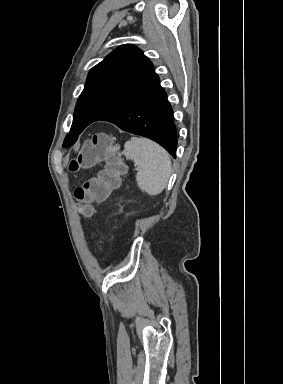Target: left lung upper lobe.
Segmentation results:
<instances>
[{"mask_svg": "<svg viewBox=\"0 0 283 384\" xmlns=\"http://www.w3.org/2000/svg\"><path fill=\"white\" fill-rule=\"evenodd\" d=\"M154 73L149 59L134 45H122L94 66L87 77L63 147L73 145L79 134L109 111Z\"/></svg>", "mask_w": 283, "mask_h": 384, "instance_id": "obj_1", "label": "left lung upper lobe"}]
</instances>
